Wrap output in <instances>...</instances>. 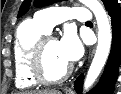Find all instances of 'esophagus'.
Wrapping results in <instances>:
<instances>
[{"label": "esophagus", "mask_w": 121, "mask_h": 94, "mask_svg": "<svg viewBox=\"0 0 121 94\" xmlns=\"http://www.w3.org/2000/svg\"><path fill=\"white\" fill-rule=\"evenodd\" d=\"M66 94H72L71 90L66 91Z\"/></svg>", "instance_id": "1"}]
</instances>
